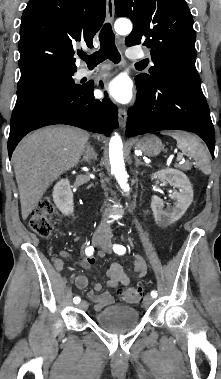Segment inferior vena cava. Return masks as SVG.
Returning a JSON list of instances; mask_svg holds the SVG:
<instances>
[{"label": "inferior vena cava", "mask_w": 221, "mask_h": 379, "mask_svg": "<svg viewBox=\"0 0 221 379\" xmlns=\"http://www.w3.org/2000/svg\"><path fill=\"white\" fill-rule=\"evenodd\" d=\"M94 157H96L95 153H94ZM106 218L104 217L103 221L101 222L100 226H99V230H110V225L107 224L106 222Z\"/></svg>", "instance_id": "obj_1"}]
</instances>
